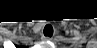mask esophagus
Instances as JSON below:
<instances>
[{"instance_id":"34e87169","label":"esophagus","mask_w":97,"mask_h":48,"mask_svg":"<svg viewBox=\"0 0 97 48\" xmlns=\"http://www.w3.org/2000/svg\"><path fill=\"white\" fill-rule=\"evenodd\" d=\"M42 39L43 40H52V38H50V37H43Z\"/></svg>"}]
</instances>
